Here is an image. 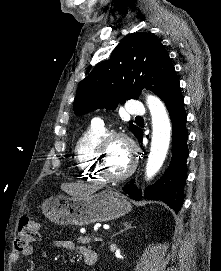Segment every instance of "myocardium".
I'll use <instances>...</instances> for the list:
<instances>
[{"instance_id": "1", "label": "myocardium", "mask_w": 221, "mask_h": 271, "mask_svg": "<svg viewBox=\"0 0 221 271\" xmlns=\"http://www.w3.org/2000/svg\"><path fill=\"white\" fill-rule=\"evenodd\" d=\"M116 142H122V150H129V155L138 154V145H135L132 140L131 133H109V137H103L101 145H98V151L93 157V163L95 164V172L102 175L103 178H129V175L133 174L132 170H138L137 157H132L130 160L131 170H125L124 173H111L107 171L108 166L103 162V156L110 149V145Z\"/></svg>"}]
</instances>
